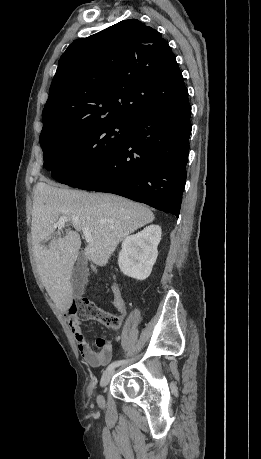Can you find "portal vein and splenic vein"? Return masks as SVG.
I'll return each instance as SVG.
<instances>
[{
  "label": "portal vein and splenic vein",
  "mask_w": 261,
  "mask_h": 459,
  "mask_svg": "<svg viewBox=\"0 0 261 459\" xmlns=\"http://www.w3.org/2000/svg\"><path fill=\"white\" fill-rule=\"evenodd\" d=\"M70 218L66 216L60 217L57 223L54 224V228H62L64 227L66 222H69ZM83 235L85 236L86 242L89 243L92 241V231L88 227L82 228Z\"/></svg>",
  "instance_id": "portal-vein-and-splenic-vein-1"
}]
</instances>
